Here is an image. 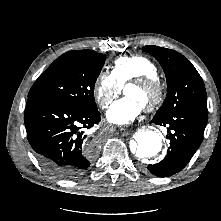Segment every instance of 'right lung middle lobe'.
I'll return each instance as SVG.
<instances>
[{
	"label": "right lung middle lobe",
	"mask_w": 221,
	"mask_h": 221,
	"mask_svg": "<svg viewBox=\"0 0 221 221\" xmlns=\"http://www.w3.org/2000/svg\"><path fill=\"white\" fill-rule=\"evenodd\" d=\"M105 55L92 50L69 51L56 59L35 81L28 98L37 96L94 112V85Z\"/></svg>",
	"instance_id": "obj_1"
}]
</instances>
